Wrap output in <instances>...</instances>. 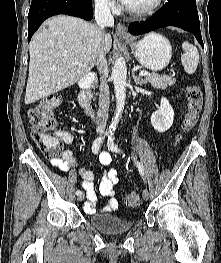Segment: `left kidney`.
<instances>
[{"label": "left kidney", "instance_id": "5707ae66", "mask_svg": "<svg viewBox=\"0 0 221 263\" xmlns=\"http://www.w3.org/2000/svg\"><path fill=\"white\" fill-rule=\"evenodd\" d=\"M174 110L169 101L162 97L160 108L151 115V123L158 132L167 131L173 124Z\"/></svg>", "mask_w": 221, "mask_h": 263}]
</instances>
